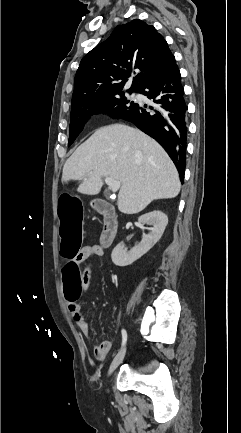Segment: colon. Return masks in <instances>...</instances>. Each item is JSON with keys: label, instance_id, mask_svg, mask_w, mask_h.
Wrapping results in <instances>:
<instances>
[{"label": "colon", "instance_id": "obj_1", "mask_svg": "<svg viewBox=\"0 0 241 433\" xmlns=\"http://www.w3.org/2000/svg\"><path fill=\"white\" fill-rule=\"evenodd\" d=\"M60 206L58 220L60 255L65 261L78 257L79 247H82L84 237V221L82 215L86 214V205L77 201L76 192H60L57 199ZM80 268L76 263H65L61 272L60 288L64 292L68 305H77L80 299Z\"/></svg>", "mask_w": 241, "mask_h": 433}]
</instances>
